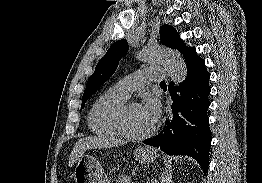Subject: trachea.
<instances>
[{
	"label": "trachea",
	"mask_w": 262,
	"mask_h": 183,
	"mask_svg": "<svg viewBox=\"0 0 262 183\" xmlns=\"http://www.w3.org/2000/svg\"><path fill=\"white\" fill-rule=\"evenodd\" d=\"M160 85H166V83L163 81V82L160 83Z\"/></svg>",
	"instance_id": "1"
}]
</instances>
